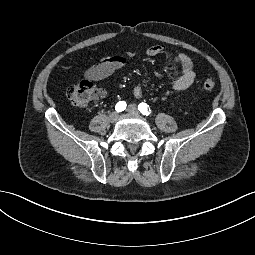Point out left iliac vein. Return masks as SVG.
Returning a JSON list of instances; mask_svg holds the SVG:
<instances>
[{"mask_svg":"<svg viewBox=\"0 0 255 255\" xmlns=\"http://www.w3.org/2000/svg\"><path fill=\"white\" fill-rule=\"evenodd\" d=\"M127 112H128V113H131V114H138V113H139V111H138V109H137V106L134 105V104H131V105H129V106L127 107Z\"/></svg>","mask_w":255,"mask_h":255,"instance_id":"left-iliac-vein-1","label":"left iliac vein"}]
</instances>
